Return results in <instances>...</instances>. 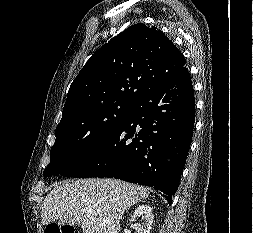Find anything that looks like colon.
Segmentation results:
<instances>
[{
	"mask_svg": "<svg viewBox=\"0 0 253 233\" xmlns=\"http://www.w3.org/2000/svg\"><path fill=\"white\" fill-rule=\"evenodd\" d=\"M45 233H78L71 225H59L51 223L46 226Z\"/></svg>",
	"mask_w": 253,
	"mask_h": 233,
	"instance_id": "obj_1",
	"label": "colon"
}]
</instances>
